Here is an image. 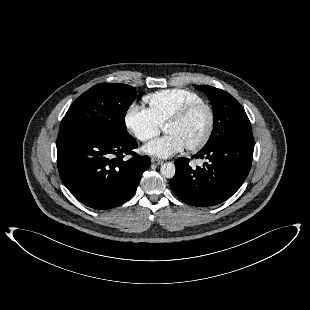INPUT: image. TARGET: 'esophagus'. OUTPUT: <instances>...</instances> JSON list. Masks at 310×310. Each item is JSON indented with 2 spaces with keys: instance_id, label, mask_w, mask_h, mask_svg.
Wrapping results in <instances>:
<instances>
[{
  "instance_id": "esophagus-1",
  "label": "esophagus",
  "mask_w": 310,
  "mask_h": 310,
  "mask_svg": "<svg viewBox=\"0 0 310 310\" xmlns=\"http://www.w3.org/2000/svg\"><path fill=\"white\" fill-rule=\"evenodd\" d=\"M151 162L157 166L159 165H162L163 164V161L162 160H159V159H156V158H151Z\"/></svg>"
}]
</instances>
